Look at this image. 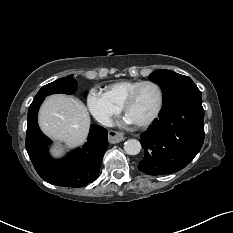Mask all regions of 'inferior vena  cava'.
<instances>
[{"label": "inferior vena cava", "mask_w": 233, "mask_h": 233, "mask_svg": "<svg viewBox=\"0 0 233 233\" xmlns=\"http://www.w3.org/2000/svg\"><path fill=\"white\" fill-rule=\"evenodd\" d=\"M100 123L102 125L105 126H112L113 125V121L108 117V116H104L101 120Z\"/></svg>", "instance_id": "1"}]
</instances>
